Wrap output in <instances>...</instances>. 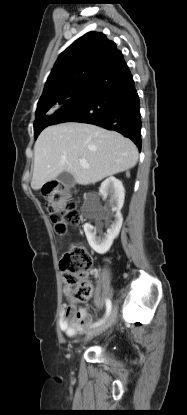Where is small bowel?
Wrapping results in <instances>:
<instances>
[{
  "label": "small bowel",
  "instance_id": "c3829d8e",
  "mask_svg": "<svg viewBox=\"0 0 187 415\" xmlns=\"http://www.w3.org/2000/svg\"><path fill=\"white\" fill-rule=\"evenodd\" d=\"M92 323V317L87 308L76 310L72 306L62 309L61 330L69 337H76Z\"/></svg>",
  "mask_w": 187,
  "mask_h": 415
}]
</instances>
